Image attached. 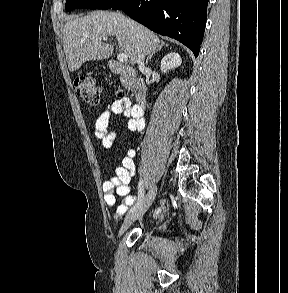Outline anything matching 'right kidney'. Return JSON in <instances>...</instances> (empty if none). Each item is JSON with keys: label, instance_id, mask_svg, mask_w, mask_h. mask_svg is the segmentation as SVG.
<instances>
[{"label": "right kidney", "instance_id": "right-kidney-1", "mask_svg": "<svg viewBox=\"0 0 288 293\" xmlns=\"http://www.w3.org/2000/svg\"><path fill=\"white\" fill-rule=\"evenodd\" d=\"M182 59L178 53L172 52L163 57L161 60L160 70L162 73H166L170 69H174L180 66Z\"/></svg>", "mask_w": 288, "mask_h": 293}]
</instances>
